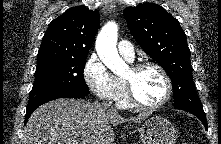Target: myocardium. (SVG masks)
<instances>
[{
  "label": "myocardium",
  "instance_id": "f54148a6",
  "mask_svg": "<svg viewBox=\"0 0 221 144\" xmlns=\"http://www.w3.org/2000/svg\"><path fill=\"white\" fill-rule=\"evenodd\" d=\"M146 68H155L162 75L165 82V95L163 99L160 102L152 105L142 103L135 94L132 81L125 78L124 83L126 87L127 98L130 104L135 108L143 110H156L163 107L170 100V97L172 95V82L166 70L161 65L155 62L146 61L137 63L131 67V70L134 74H138Z\"/></svg>",
  "mask_w": 221,
  "mask_h": 144
}]
</instances>
